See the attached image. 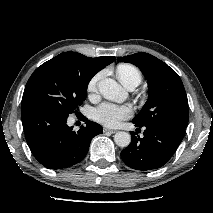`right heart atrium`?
Wrapping results in <instances>:
<instances>
[{
  "instance_id": "right-heart-atrium-1",
  "label": "right heart atrium",
  "mask_w": 213,
  "mask_h": 213,
  "mask_svg": "<svg viewBox=\"0 0 213 213\" xmlns=\"http://www.w3.org/2000/svg\"><path fill=\"white\" fill-rule=\"evenodd\" d=\"M100 78H101V74L98 73L90 79V81L88 82V85H87V92L89 94H94L97 91V85H98Z\"/></svg>"
}]
</instances>
